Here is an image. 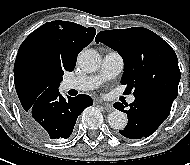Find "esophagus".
<instances>
[{
  "label": "esophagus",
  "instance_id": "34e87169",
  "mask_svg": "<svg viewBox=\"0 0 190 165\" xmlns=\"http://www.w3.org/2000/svg\"><path fill=\"white\" fill-rule=\"evenodd\" d=\"M98 104L102 105L107 112H111L114 109L111 104L103 102V101H98Z\"/></svg>",
  "mask_w": 190,
  "mask_h": 165
}]
</instances>
